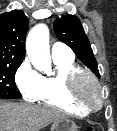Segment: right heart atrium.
<instances>
[{"label": "right heart atrium", "mask_w": 117, "mask_h": 131, "mask_svg": "<svg viewBox=\"0 0 117 131\" xmlns=\"http://www.w3.org/2000/svg\"><path fill=\"white\" fill-rule=\"evenodd\" d=\"M42 80L41 74L28 60L21 64L15 74L16 85L27 101H35L37 99L42 87Z\"/></svg>", "instance_id": "1"}]
</instances>
